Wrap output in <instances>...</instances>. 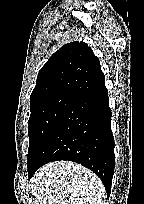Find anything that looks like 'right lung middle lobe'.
<instances>
[{
    "mask_svg": "<svg viewBox=\"0 0 144 204\" xmlns=\"http://www.w3.org/2000/svg\"><path fill=\"white\" fill-rule=\"evenodd\" d=\"M74 98L75 96L73 95L62 94L31 106V114L28 121V167L34 163L36 154L44 145L59 118Z\"/></svg>",
    "mask_w": 144,
    "mask_h": 204,
    "instance_id": "dd1d6c3e",
    "label": "right lung middle lobe"
}]
</instances>
